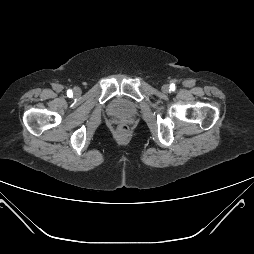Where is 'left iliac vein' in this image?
<instances>
[{
  "label": "left iliac vein",
  "instance_id": "left-iliac-vein-1",
  "mask_svg": "<svg viewBox=\"0 0 254 254\" xmlns=\"http://www.w3.org/2000/svg\"><path fill=\"white\" fill-rule=\"evenodd\" d=\"M162 91H163L164 93H168V92L170 91L169 85H163V86H162Z\"/></svg>",
  "mask_w": 254,
  "mask_h": 254
}]
</instances>
